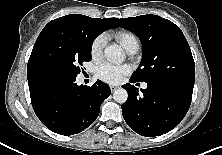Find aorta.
Returning <instances> with one entry per match:
<instances>
[{
  "label": "aorta",
  "mask_w": 222,
  "mask_h": 155,
  "mask_svg": "<svg viewBox=\"0 0 222 155\" xmlns=\"http://www.w3.org/2000/svg\"><path fill=\"white\" fill-rule=\"evenodd\" d=\"M104 55L109 61H122L124 54L122 49L117 45H110L104 50ZM113 99L117 103H125L128 99V93L125 89L119 88L114 91Z\"/></svg>",
  "instance_id": "obj_1"
}]
</instances>
